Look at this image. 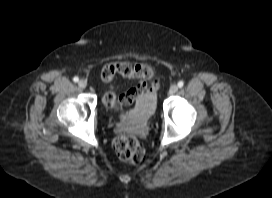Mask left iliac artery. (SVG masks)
Wrapping results in <instances>:
<instances>
[{"label": "left iliac artery", "mask_w": 272, "mask_h": 198, "mask_svg": "<svg viewBox=\"0 0 272 198\" xmlns=\"http://www.w3.org/2000/svg\"><path fill=\"white\" fill-rule=\"evenodd\" d=\"M183 85H184V82H183V81H179V82H178V87H179V88L183 87Z\"/></svg>", "instance_id": "left-iliac-artery-1"}]
</instances>
